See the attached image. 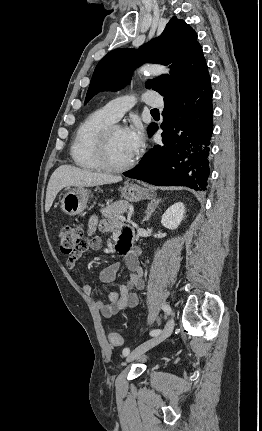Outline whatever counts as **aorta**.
<instances>
[{
    "instance_id": "1",
    "label": "aorta",
    "mask_w": 262,
    "mask_h": 431,
    "mask_svg": "<svg viewBox=\"0 0 262 431\" xmlns=\"http://www.w3.org/2000/svg\"><path fill=\"white\" fill-rule=\"evenodd\" d=\"M139 73L144 75L169 74V69L163 65L145 64L139 69Z\"/></svg>"
}]
</instances>
